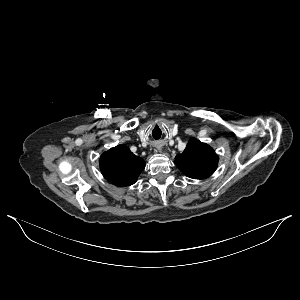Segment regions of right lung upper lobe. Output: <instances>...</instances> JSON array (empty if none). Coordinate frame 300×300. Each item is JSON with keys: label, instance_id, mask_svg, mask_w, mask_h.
Returning <instances> with one entry per match:
<instances>
[{"label": "right lung upper lobe", "instance_id": "1", "mask_svg": "<svg viewBox=\"0 0 300 300\" xmlns=\"http://www.w3.org/2000/svg\"><path fill=\"white\" fill-rule=\"evenodd\" d=\"M144 168V160L122 145L111 148L100 157L101 173L118 187L134 184Z\"/></svg>", "mask_w": 300, "mask_h": 300}]
</instances>
